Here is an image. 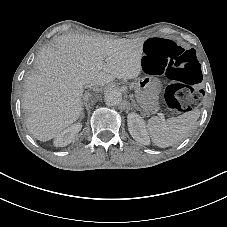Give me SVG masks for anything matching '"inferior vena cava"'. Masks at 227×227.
<instances>
[{
	"mask_svg": "<svg viewBox=\"0 0 227 227\" xmlns=\"http://www.w3.org/2000/svg\"><path fill=\"white\" fill-rule=\"evenodd\" d=\"M90 85L93 86V83L91 82Z\"/></svg>",
	"mask_w": 227,
	"mask_h": 227,
	"instance_id": "1",
	"label": "inferior vena cava"
}]
</instances>
